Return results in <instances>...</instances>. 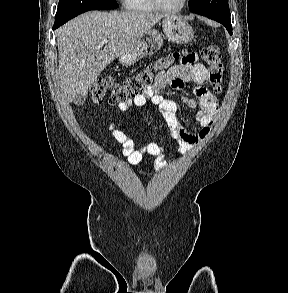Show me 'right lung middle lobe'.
Returning <instances> with one entry per match:
<instances>
[{
    "label": "right lung middle lobe",
    "mask_w": 288,
    "mask_h": 293,
    "mask_svg": "<svg viewBox=\"0 0 288 293\" xmlns=\"http://www.w3.org/2000/svg\"><path fill=\"white\" fill-rule=\"evenodd\" d=\"M115 0H60L54 25H63L68 20L89 10L116 9Z\"/></svg>",
    "instance_id": "obj_1"
}]
</instances>
